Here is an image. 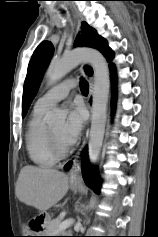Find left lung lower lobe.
<instances>
[{"label": "left lung lower lobe", "mask_w": 158, "mask_h": 237, "mask_svg": "<svg viewBox=\"0 0 158 237\" xmlns=\"http://www.w3.org/2000/svg\"><path fill=\"white\" fill-rule=\"evenodd\" d=\"M110 70H111V75H112V81H113V97H112V106H113V109H114V100H115V68H114V65L111 64L110 65ZM72 165V162H68L66 165H65V169L66 170H69L70 167ZM83 179L85 181V183L87 184V186H89L90 188H92L95 192L97 190V186H98V178H97V175H96V172H95V169L94 168H91L89 166V163H88V158H87V152L85 151L84 154H83Z\"/></svg>", "instance_id": "obj_1"}]
</instances>
